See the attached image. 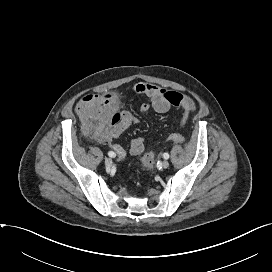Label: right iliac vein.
<instances>
[{
  "label": "right iliac vein",
  "mask_w": 272,
  "mask_h": 272,
  "mask_svg": "<svg viewBox=\"0 0 272 272\" xmlns=\"http://www.w3.org/2000/svg\"><path fill=\"white\" fill-rule=\"evenodd\" d=\"M112 163H113V161H112L111 158H106V159H105V165H106L107 167H110V166L112 165Z\"/></svg>",
  "instance_id": "63e3f726"
}]
</instances>
